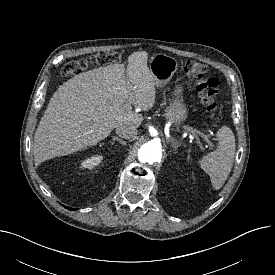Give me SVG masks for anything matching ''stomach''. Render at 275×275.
Returning a JSON list of instances; mask_svg holds the SVG:
<instances>
[{
    "instance_id": "obj_1",
    "label": "stomach",
    "mask_w": 275,
    "mask_h": 275,
    "mask_svg": "<svg viewBox=\"0 0 275 275\" xmlns=\"http://www.w3.org/2000/svg\"><path fill=\"white\" fill-rule=\"evenodd\" d=\"M178 63L175 58L163 53L155 54L150 59L149 69L155 79L156 87L163 88L173 77ZM181 87L174 91L175 98L166 109V118L173 124L179 125L187 118L186 105L179 99Z\"/></svg>"
}]
</instances>
